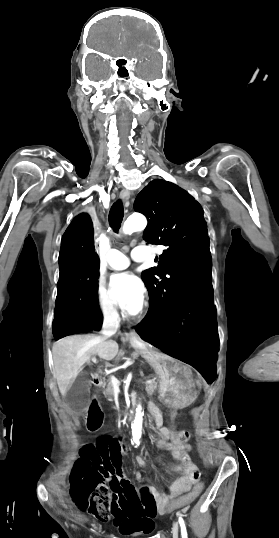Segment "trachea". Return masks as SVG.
<instances>
[{
  "instance_id": "1",
  "label": "trachea",
  "mask_w": 279,
  "mask_h": 538,
  "mask_svg": "<svg viewBox=\"0 0 279 538\" xmlns=\"http://www.w3.org/2000/svg\"><path fill=\"white\" fill-rule=\"evenodd\" d=\"M123 218H124L123 203L120 200H118L112 205L109 212V216H108L109 225L116 233H118L121 227Z\"/></svg>"
}]
</instances>
